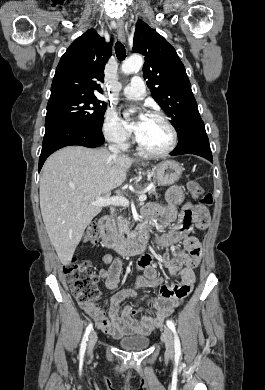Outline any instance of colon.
I'll return each instance as SVG.
<instances>
[{"label":"colon","instance_id":"5ec220e1","mask_svg":"<svg viewBox=\"0 0 265 390\" xmlns=\"http://www.w3.org/2000/svg\"><path fill=\"white\" fill-rule=\"evenodd\" d=\"M188 190L194 197H200V203L204 206H210L213 202V196L210 193H204L202 187L195 181L188 183ZM98 238V226L92 223L88 226L84 240L89 244H95ZM64 275L67 278L69 288L80 304L93 302L99 297L97 283L99 276L88 260H73L67 263L63 268Z\"/></svg>","mask_w":265,"mask_h":390}]
</instances>
